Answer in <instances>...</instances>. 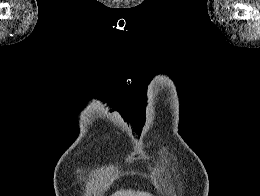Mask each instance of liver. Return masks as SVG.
<instances>
[{"instance_id": "1", "label": "liver", "mask_w": 260, "mask_h": 196, "mask_svg": "<svg viewBox=\"0 0 260 196\" xmlns=\"http://www.w3.org/2000/svg\"><path fill=\"white\" fill-rule=\"evenodd\" d=\"M112 196H152V194H148V192H133V190H119Z\"/></svg>"}]
</instances>
